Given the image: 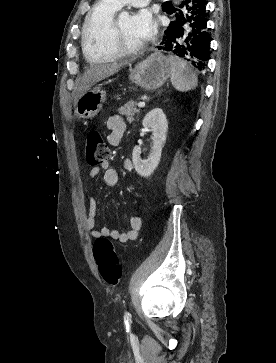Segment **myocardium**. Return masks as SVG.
Segmentation results:
<instances>
[{"mask_svg": "<svg viewBox=\"0 0 276 363\" xmlns=\"http://www.w3.org/2000/svg\"><path fill=\"white\" fill-rule=\"evenodd\" d=\"M109 41L112 50L117 53L118 57L138 55L142 51H144L147 47L146 42L133 48L126 47L125 45H123V43L121 42L120 21L118 17H116L113 20L112 25L110 27Z\"/></svg>", "mask_w": 276, "mask_h": 363, "instance_id": "1", "label": "myocardium"}]
</instances>
